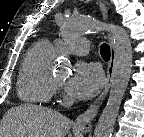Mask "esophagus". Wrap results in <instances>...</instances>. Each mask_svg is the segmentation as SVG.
Returning <instances> with one entry per match:
<instances>
[{
    "label": "esophagus",
    "mask_w": 144,
    "mask_h": 137,
    "mask_svg": "<svg viewBox=\"0 0 144 137\" xmlns=\"http://www.w3.org/2000/svg\"><path fill=\"white\" fill-rule=\"evenodd\" d=\"M99 8L102 13L103 19L107 20L108 16L105 3L99 1ZM108 40L110 44V60L106 69L107 77L104 89L101 92V94L92 102L89 108L84 113L80 114L75 121V126L83 132H88L89 130H91L93 119L96 116L103 99L105 98L106 94L110 89L111 82L114 76L116 64V51L111 33H108Z\"/></svg>",
    "instance_id": "34e87169"
}]
</instances>
